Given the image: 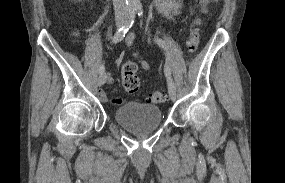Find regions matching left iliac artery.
<instances>
[{
  "label": "left iliac artery",
  "mask_w": 285,
  "mask_h": 183,
  "mask_svg": "<svg viewBox=\"0 0 285 183\" xmlns=\"http://www.w3.org/2000/svg\"><path fill=\"white\" fill-rule=\"evenodd\" d=\"M137 11H138V15L141 17L143 15L142 8L138 7ZM155 42L159 46H161L163 49L167 48V45H166L165 41H163L162 39H155ZM164 73H165V76L167 78L168 87L176 89L175 83L173 82V79L171 77V69H170V66H169V64L167 62H166L165 67H164Z\"/></svg>",
  "instance_id": "1"
}]
</instances>
